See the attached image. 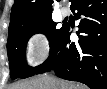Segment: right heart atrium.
Returning <instances> with one entry per match:
<instances>
[{
	"instance_id": "obj_1",
	"label": "right heart atrium",
	"mask_w": 107,
	"mask_h": 89,
	"mask_svg": "<svg viewBox=\"0 0 107 89\" xmlns=\"http://www.w3.org/2000/svg\"><path fill=\"white\" fill-rule=\"evenodd\" d=\"M50 50V40L43 32L31 34L25 44L27 61L30 65L42 62Z\"/></svg>"
}]
</instances>
